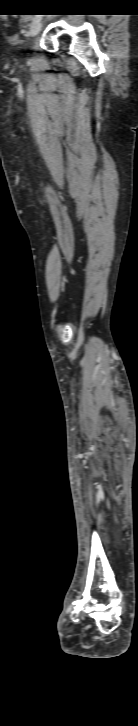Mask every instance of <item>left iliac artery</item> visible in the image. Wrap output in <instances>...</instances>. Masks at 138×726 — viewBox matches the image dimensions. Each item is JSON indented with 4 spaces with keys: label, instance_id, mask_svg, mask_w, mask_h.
<instances>
[{
    "label": "left iliac artery",
    "instance_id": "left-iliac-artery-1",
    "mask_svg": "<svg viewBox=\"0 0 138 726\" xmlns=\"http://www.w3.org/2000/svg\"><path fill=\"white\" fill-rule=\"evenodd\" d=\"M40 18H41L40 16L36 15L33 17L32 20H33V22H36V21L40 20Z\"/></svg>",
    "mask_w": 138,
    "mask_h": 726
}]
</instances>
